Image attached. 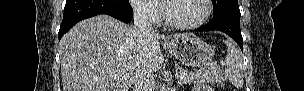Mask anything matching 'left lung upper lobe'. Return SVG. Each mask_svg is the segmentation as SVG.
I'll list each match as a JSON object with an SVG mask.
<instances>
[{
	"label": "left lung upper lobe",
	"instance_id": "obj_1",
	"mask_svg": "<svg viewBox=\"0 0 304 91\" xmlns=\"http://www.w3.org/2000/svg\"><path fill=\"white\" fill-rule=\"evenodd\" d=\"M214 16L223 12L230 6L238 5V0H212Z\"/></svg>",
	"mask_w": 304,
	"mask_h": 91
}]
</instances>
